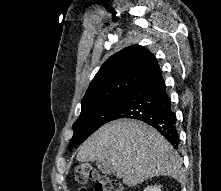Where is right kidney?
Wrapping results in <instances>:
<instances>
[{"label":"right kidney","mask_w":221,"mask_h":191,"mask_svg":"<svg viewBox=\"0 0 221 191\" xmlns=\"http://www.w3.org/2000/svg\"><path fill=\"white\" fill-rule=\"evenodd\" d=\"M144 191H161L160 185L148 186Z\"/></svg>","instance_id":"right-kidney-1"}]
</instances>
